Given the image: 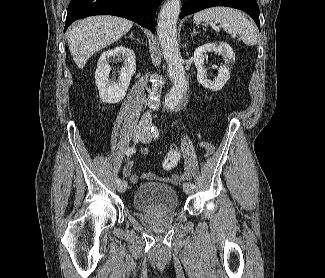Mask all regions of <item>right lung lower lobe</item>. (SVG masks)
<instances>
[{"mask_svg": "<svg viewBox=\"0 0 325 278\" xmlns=\"http://www.w3.org/2000/svg\"><path fill=\"white\" fill-rule=\"evenodd\" d=\"M162 0H71L64 32L77 19L116 15L130 19L155 33V14Z\"/></svg>", "mask_w": 325, "mask_h": 278, "instance_id": "1", "label": "right lung lower lobe"}]
</instances>
